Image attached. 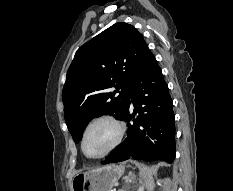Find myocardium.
<instances>
[{
	"mask_svg": "<svg viewBox=\"0 0 233 191\" xmlns=\"http://www.w3.org/2000/svg\"><path fill=\"white\" fill-rule=\"evenodd\" d=\"M98 122H108L112 124L116 129V137L114 141L111 143V145L102 154L97 155V156H92V155H89L85 150V138H86V134L89 128ZM125 132H126V128H125L124 123L121 120L117 119L116 117L111 116V115L96 116L93 119H91L83 129L82 136H81V150L83 154L89 159H92V160L102 159L105 156H107L109 153H111L113 150H115L122 143L125 137Z\"/></svg>",
	"mask_w": 233,
	"mask_h": 191,
	"instance_id": "f54148a6",
	"label": "myocardium"
}]
</instances>
